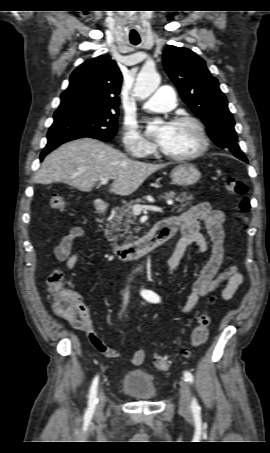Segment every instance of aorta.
I'll return each mask as SVG.
<instances>
[{"instance_id": "1", "label": "aorta", "mask_w": 270, "mask_h": 453, "mask_svg": "<svg viewBox=\"0 0 270 453\" xmlns=\"http://www.w3.org/2000/svg\"><path fill=\"white\" fill-rule=\"evenodd\" d=\"M160 82V75L155 68L144 66L137 76L134 95L140 100H145L158 88Z\"/></svg>"}]
</instances>
